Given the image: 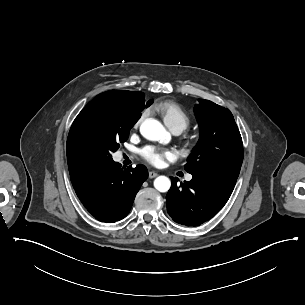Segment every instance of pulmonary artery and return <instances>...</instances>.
Returning a JSON list of instances; mask_svg holds the SVG:
<instances>
[{
    "instance_id": "e3ab8cb5",
    "label": "pulmonary artery",
    "mask_w": 305,
    "mask_h": 305,
    "mask_svg": "<svg viewBox=\"0 0 305 305\" xmlns=\"http://www.w3.org/2000/svg\"><path fill=\"white\" fill-rule=\"evenodd\" d=\"M172 132L175 134V135H179L182 133V130L181 129H173ZM193 178V176L191 174L187 175L186 176V180L187 181H191Z\"/></svg>"
}]
</instances>
